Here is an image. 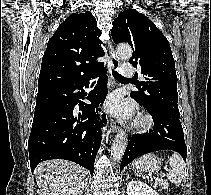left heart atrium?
<instances>
[{"instance_id":"left-heart-atrium-1","label":"left heart atrium","mask_w":211,"mask_h":195,"mask_svg":"<svg viewBox=\"0 0 211 195\" xmlns=\"http://www.w3.org/2000/svg\"><path fill=\"white\" fill-rule=\"evenodd\" d=\"M106 107L111 114L121 119L129 118L133 112V105L126 102L118 93H114L108 98Z\"/></svg>"}]
</instances>
